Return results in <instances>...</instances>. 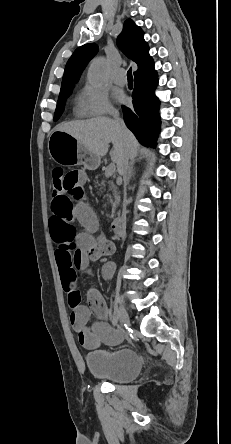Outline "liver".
Segmentation results:
<instances>
[{"instance_id":"obj_1","label":"liver","mask_w":231,"mask_h":444,"mask_svg":"<svg viewBox=\"0 0 231 444\" xmlns=\"http://www.w3.org/2000/svg\"><path fill=\"white\" fill-rule=\"evenodd\" d=\"M55 130L70 134L98 157L106 155L109 143H112L110 156L117 168L125 157L134 159L140 148L138 141L126 127L121 131L115 120L105 117L62 123Z\"/></svg>"}]
</instances>
